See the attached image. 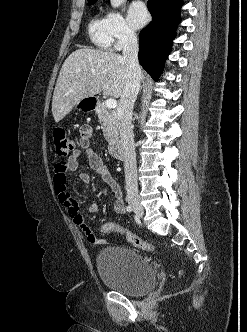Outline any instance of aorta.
Instances as JSON below:
<instances>
[{"label": "aorta", "instance_id": "1", "mask_svg": "<svg viewBox=\"0 0 247 332\" xmlns=\"http://www.w3.org/2000/svg\"><path fill=\"white\" fill-rule=\"evenodd\" d=\"M125 1L126 0H111V5H112L113 8H118Z\"/></svg>", "mask_w": 247, "mask_h": 332}]
</instances>
